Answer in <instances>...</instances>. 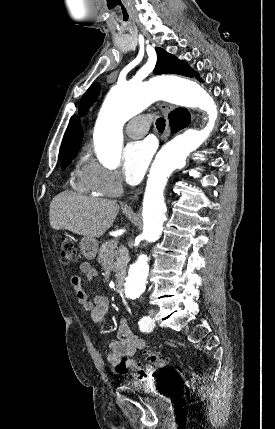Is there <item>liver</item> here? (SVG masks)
Wrapping results in <instances>:
<instances>
[{
    "instance_id": "liver-1",
    "label": "liver",
    "mask_w": 275,
    "mask_h": 429,
    "mask_svg": "<svg viewBox=\"0 0 275 429\" xmlns=\"http://www.w3.org/2000/svg\"><path fill=\"white\" fill-rule=\"evenodd\" d=\"M119 209L115 200L90 198L64 191L51 201L49 220L55 230H69L95 239L112 226Z\"/></svg>"
}]
</instances>
